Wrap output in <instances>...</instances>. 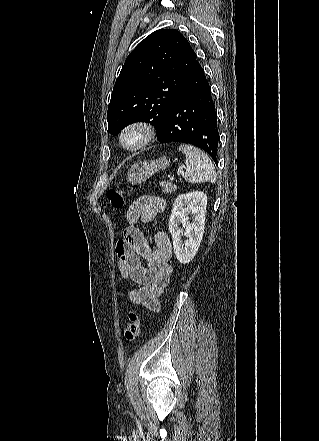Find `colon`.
<instances>
[{
    "label": "colon",
    "mask_w": 319,
    "mask_h": 441,
    "mask_svg": "<svg viewBox=\"0 0 319 441\" xmlns=\"http://www.w3.org/2000/svg\"><path fill=\"white\" fill-rule=\"evenodd\" d=\"M127 193L124 189H111L107 192V198L113 212L123 209ZM141 321L136 312L131 311L128 315V323L124 329V338L128 342L136 340L140 334Z\"/></svg>",
    "instance_id": "5ec220e1"
}]
</instances>
